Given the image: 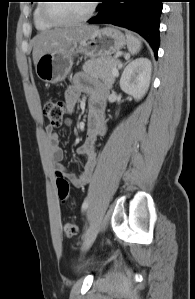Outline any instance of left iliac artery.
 <instances>
[{"mask_svg": "<svg viewBox=\"0 0 195 299\" xmlns=\"http://www.w3.org/2000/svg\"><path fill=\"white\" fill-rule=\"evenodd\" d=\"M88 201H84L83 204H82V211H85L87 208H88Z\"/></svg>", "mask_w": 195, "mask_h": 299, "instance_id": "obj_1", "label": "left iliac artery"}]
</instances>
